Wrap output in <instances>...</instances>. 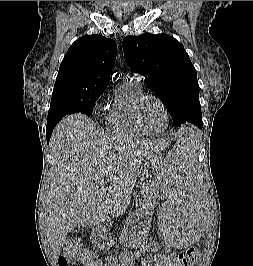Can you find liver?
Listing matches in <instances>:
<instances>
[{
  "label": "liver",
  "mask_w": 253,
  "mask_h": 266,
  "mask_svg": "<svg viewBox=\"0 0 253 266\" xmlns=\"http://www.w3.org/2000/svg\"><path fill=\"white\" fill-rule=\"evenodd\" d=\"M168 145L166 140L105 135L82 114L63 118L50 140L56 168L46 199L47 236L54 254L59 255L76 227L98 228L123 215L147 161Z\"/></svg>",
  "instance_id": "6515ba94"
}]
</instances>
